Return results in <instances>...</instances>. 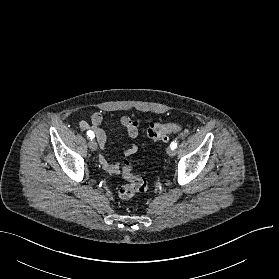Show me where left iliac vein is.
Wrapping results in <instances>:
<instances>
[{
	"label": "left iliac vein",
	"mask_w": 279,
	"mask_h": 279,
	"mask_svg": "<svg viewBox=\"0 0 279 279\" xmlns=\"http://www.w3.org/2000/svg\"><path fill=\"white\" fill-rule=\"evenodd\" d=\"M167 154H168L169 156L173 157V156H175V154H176V150H175V149L169 148V149L167 150Z\"/></svg>",
	"instance_id": "obj_1"
}]
</instances>
